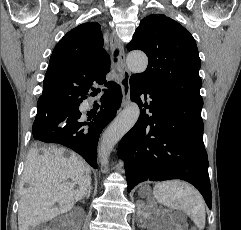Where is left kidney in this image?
I'll list each match as a JSON object with an SVG mask.
<instances>
[{
  "instance_id": "5707ae66",
  "label": "left kidney",
  "mask_w": 241,
  "mask_h": 230,
  "mask_svg": "<svg viewBox=\"0 0 241 230\" xmlns=\"http://www.w3.org/2000/svg\"><path fill=\"white\" fill-rule=\"evenodd\" d=\"M147 217L148 220L145 222V225L149 227V230H173V226L170 224H161L156 221L155 218L151 216V213H148Z\"/></svg>"
}]
</instances>
